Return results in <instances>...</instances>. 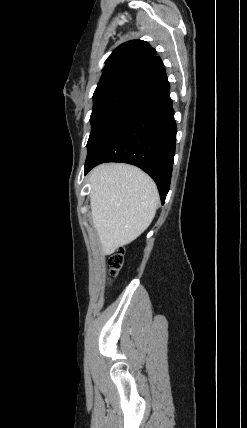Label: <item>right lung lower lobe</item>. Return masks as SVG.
Masks as SVG:
<instances>
[{
  "label": "right lung lower lobe",
  "mask_w": 247,
  "mask_h": 428,
  "mask_svg": "<svg viewBox=\"0 0 247 428\" xmlns=\"http://www.w3.org/2000/svg\"><path fill=\"white\" fill-rule=\"evenodd\" d=\"M169 90L164 76L130 101L88 149L85 174L104 162L133 164L153 178L164 204L177 132Z\"/></svg>",
  "instance_id": "right-lung-lower-lobe-1"
}]
</instances>
